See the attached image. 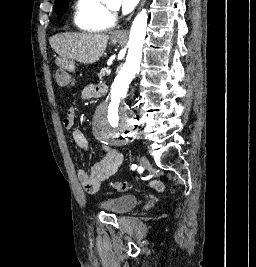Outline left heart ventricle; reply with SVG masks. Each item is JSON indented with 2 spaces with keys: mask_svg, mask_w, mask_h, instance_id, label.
Listing matches in <instances>:
<instances>
[{
  "mask_svg": "<svg viewBox=\"0 0 256 267\" xmlns=\"http://www.w3.org/2000/svg\"><path fill=\"white\" fill-rule=\"evenodd\" d=\"M112 26H113L112 21L105 22L101 25V30L109 31L112 28Z\"/></svg>",
  "mask_w": 256,
  "mask_h": 267,
  "instance_id": "1",
  "label": "left heart ventricle"
}]
</instances>
